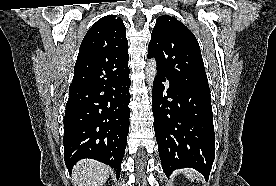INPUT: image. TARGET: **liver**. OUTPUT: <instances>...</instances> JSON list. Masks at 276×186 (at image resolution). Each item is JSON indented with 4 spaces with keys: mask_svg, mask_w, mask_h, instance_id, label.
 <instances>
[{
    "mask_svg": "<svg viewBox=\"0 0 276 186\" xmlns=\"http://www.w3.org/2000/svg\"><path fill=\"white\" fill-rule=\"evenodd\" d=\"M110 175V168L98 161L84 159L73 169L75 186H103Z\"/></svg>",
    "mask_w": 276,
    "mask_h": 186,
    "instance_id": "liver-1",
    "label": "liver"
}]
</instances>
